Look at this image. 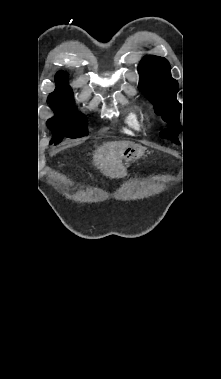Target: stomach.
<instances>
[{"label": "stomach", "mask_w": 221, "mask_h": 379, "mask_svg": "<svg viewBox=\"0 0 221 379\" xmlns=\"http://www.w3.org/2000/svg\"><path fill=\"white\" fill-rule=\"evenodd\" d=\"M144 154V149L141 146L130 144L123 153V160L126 163L138 160Z\"/></svg>", "instance_id": "stomach-1"}]
</instances>
